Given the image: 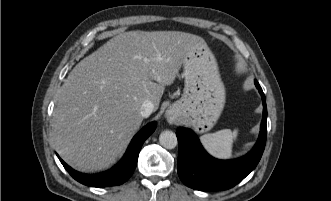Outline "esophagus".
Here are the masks:
<instances>
[{"label": "esophagus", "instance_id": "obj_1", "mask_svg": "<svg viewBox=\"0 0 331 201\" xmlns=\"http://www.w3.org/2000/svg\"><path fill=\"white\" fill-rule=\"evenodd\" d=\"M166 118H167V121L170 123V124H173L175 122V113L173 110H169L166 112L165 114Z\"/></svg>", "mask_w": 331, "mask_h": 201}]
</instances>
